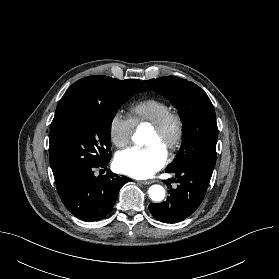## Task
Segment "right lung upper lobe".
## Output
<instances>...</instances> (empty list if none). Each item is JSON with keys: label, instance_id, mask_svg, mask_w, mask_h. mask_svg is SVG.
<instances>
[{"label": "right lung upper lobe", "instance_id": "right-lung-upper-lobe-1", "mask_svg": "<svg viewBox=\"0 0 279 279\" xmlns=\"http://www.w3.org/2000/svg\"><path fill=\"white\" fill-rule=\"evenodd\" d=\"M105 77L104 75L99 76H89L82 78L78 81H76L74 84H72L68 90L65 92L61 100L59 101L55 116L62 110V108L72 99L79 97V96H91V97H99V91L97 88V80ZM114 79V78H111ZM116 81H120L115 79ZM120 82H128L135 85L137 88H139L142 92L147 91V88L143 85V83L140 80L137 79H127ZM51 168L53 170V174L55 173V166L54 163L50 161Z\"/></svg>", "mask_w": 279, "mask_h": 279}]
</instances>
